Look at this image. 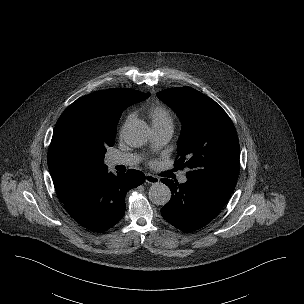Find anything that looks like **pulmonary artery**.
Masks as SVG:
<instances>
[{"instance_id":"1","label":"pulmonary artery","mask_w":304,"mask_h":304,"mask_svg":"<svg viewBox=\"0 0 304 304\" xmlns=\"http://www.w3.org/2000/svg\"><path fill=\"white\" fill-rule=\"evenodd\" d=\"M173 134L172 127H153V137H152V145L154 148H159L165 145ZM140 158L134 154H115L110 158V164L112 166L117 165H125L131 166L138 163ZM187 181V177L185 174L181 175L179 178L180 183H185Z\"/></svg>"}]
</instances>
